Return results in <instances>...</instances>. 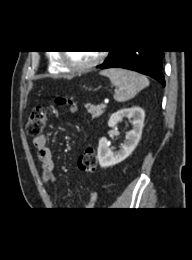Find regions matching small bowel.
<instances>
[{"mask_svg":"<svg viewBox=\"0 0 192 260\" xmlns=\"http://www.w3.org/2000/svg\"><path fill=\"white\" fill-rule=\"evenodd\" d=\"M34 145L37 148V156L41 163L42 171L40 174L41 181L46 184L56 185L58 179L54 173V158L52 150L45 137L41 136L38 139L33 140ZM98 199L97 192L93 191L89 194L86 203L83 206V210H91L95 207Z\"/></svg>","mask_w":192,"mask_h":260,"instance_id":"c3829d8e","label":"small bowel"}]
</instances>
